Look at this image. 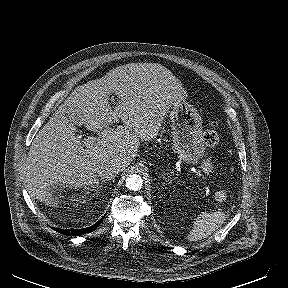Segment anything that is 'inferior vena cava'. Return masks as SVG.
Returning <instances> with one entry per match:
<instances>
[{
	"mask_svg": "<svg viewBox=\"0 0 288 288\" xmlns=\"http://www.w3.org/2000/svg\"><path fill=\"white\" fill-rule=\"evenodd\" d=\"M122 165L117 162H106L98 165L96 173L101 179L111 180L121 171Z\"/></svg>",
	"mask_w": 288,
	"mask_h": 288,
	"instance_id": "602c4592",
	"label": "inferior vena cava"
}]
</instances>
